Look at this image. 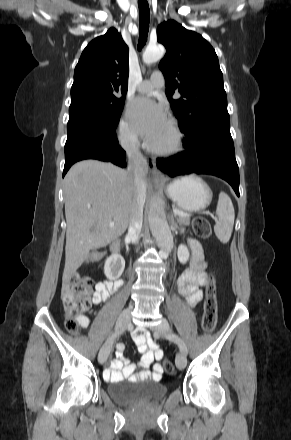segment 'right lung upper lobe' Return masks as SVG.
I'll list each match as a JSON object with an SVG mask.
<instances>
[{"mask_svg": "<svg viewBox=\"0 0 291 440\" xmlns=\"http://www.w3.org/2000/svg\"><path fill=\"white\" fill-rule=\"evenodd\" d=\"M128 46L115 28L92 40L74 71L71 102L83 98L125 97L128 88Z\"/></svg>", "mask_w": 291, "mask_h": 440, "instance_id": "right-lung-upper-lobe-1", "label": "right lung upper lobe"}]
</instances>
